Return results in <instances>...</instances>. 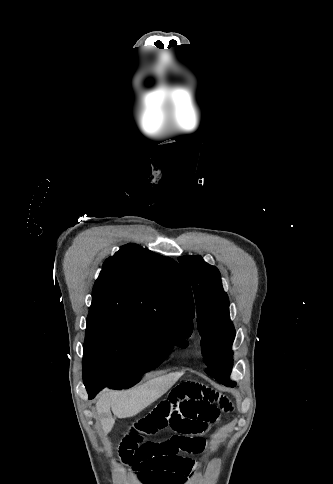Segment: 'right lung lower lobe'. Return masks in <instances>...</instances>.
Listing matches in <instances>:
<instances>
[{"label":"right lung lower lobe","instance_id":"obj_1","mask_svg":"<svg viewBox=\"0 0 333 484\" xmlns=\"http://www.w3.org/2000/svg\"><path fill=\"white\" fill-rule=\"evenodd\" d=\"M85 386H86V389H87V391H88V394H89V398H90V399H91V398H93V397L96 395V393H98V392H99V390H101V389H102V388H101V387H102V385H100V386L85 385Z\"/></svg>","mask_w":333,"mask_h":484}]
</instances>
